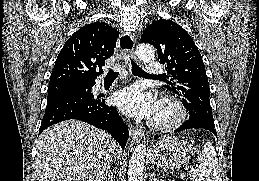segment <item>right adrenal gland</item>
I'll list each match as a JSON object with an SVG mask.
<instances>
[{"mask_svg":"<svg viewBox=\"0 0 259 181\" xmlns=\"http://www.w3.org/2000/svg\"><path fill=\"white\" fill-rule=\"evenodd\" d=\"M113 172L110 171L109 174H108V178L105 180V181H113Z\"/></svg>","mask_w":259,"mask_h":181,"instance_id":"1","label":"right adrenal gland"}]
</instances>
